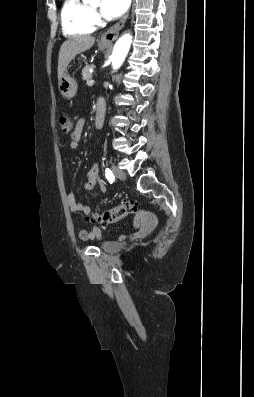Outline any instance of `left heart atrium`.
<instances>
[{"label":"left heart atrium","mask_w":254,"mask_h":397,"mask_svg":"<svg viewBox=\"0 0 254 397\" xmlns=\"http://www.w3.org/2000/svg\"><path fill=\"white\" fill-rule=\"evenodd\" d=\"M131 0H101V12L109 18L121 16L129 7Z\"/></svg>","instance_id":"39dd6f15"}]
</instances>
